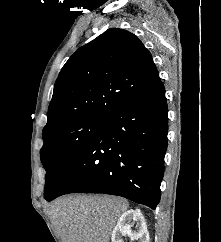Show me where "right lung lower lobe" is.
I'll return each instance as SVG.
<instances>
[{
	"label": "right lung lower lobe",
	"mask_w": 221,
	"mask_h": 242,
	"mask_svg": "<svg viewBox=\"0 0 221 242\" xmlns=\"http://www.w3.org/2000/svg\"><path fill=\"white\" fill-rule=\"evenodd\" d=\"M168 108L158 76L103 118L65 168L47 201L68 193L118 195L155 209L167 148Z\"/></svg>",
	"instance_id": "1"
}]
</instances>
